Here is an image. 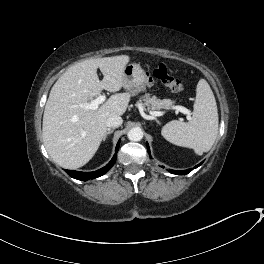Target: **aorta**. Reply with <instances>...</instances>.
Masks as SVG:
<instances>
[{
	"mask_svg": "<svg viewBox=\"0 0 264 264\" xmlns=\"http://www.w3.org/2000/svg\"><path fill=\"white\" fill-rule=\"evenodd\" d=\"M127 137L131 141H140L143 138V131L140 128H132L129 130Z\"/></svg>",
	"mask_w": 264,
	"mask_h": 264,
	"instance_id": "762f6f07",
	"label": "aorta"
}]
</instances>
